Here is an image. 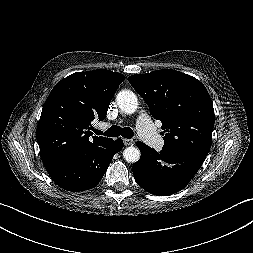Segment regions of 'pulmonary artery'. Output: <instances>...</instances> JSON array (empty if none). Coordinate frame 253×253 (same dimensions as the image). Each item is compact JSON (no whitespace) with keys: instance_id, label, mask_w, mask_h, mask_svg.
Returning <instances> with one entry per match:
<instances>
[{"instance_id":"pulmonary-artery-1","label":"pulmonary artery","mask_w":253,"mask_h":253,"mask_svg":"<svg viewBox=\"0 0 253 253\" xmlns=\"http://www.w3.org/2000/svg\"><path fill=\"white\" fill-rule=\"evenodd\" d=\"M137 130L141 138L150 146L160 148L163 145L162 137L156 132L154 125L147 114H141L137 121Z\"/></svg>"}]
</instances>
